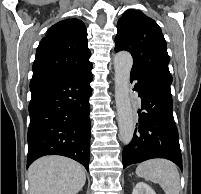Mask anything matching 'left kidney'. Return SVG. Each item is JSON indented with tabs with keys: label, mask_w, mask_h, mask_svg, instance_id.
<instances>
[{
	"label": "left kidney",
	"mask_w": 201,
	"mask_h": 194,
	"mask_svg": "<svg viewBox=\"0 0 201 194\" xmlns=\"http://www.w3.org/2000/svg\"><path fill=\"white\" fill-rule=\"evenodd\" d=\"M132 194H156L155 191L146 183L139 182L133 189Z\"/></svg>",
	"instance_id": "left-kidney-1"
}]
</instances>
